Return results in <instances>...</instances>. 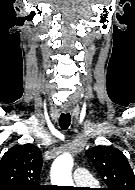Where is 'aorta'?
<instances>
[{"label": "aorta", "instance_id": "obj_1", "mask_svg": "<svg viewBox=\"0 0 135 190\" xmlns=\"http://www.w3.org/2000/svg\"><path fill=\"white\" fill-rule=\"evenodd\" d=\"M72 167L73 157L69 153L60 155L52 165V183L58 186H73L71 177Z\"/></svg>", "mask_w": 135, "mask_h": 190}]
</instances>
